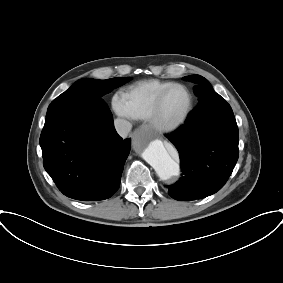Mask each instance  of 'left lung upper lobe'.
Instances as JSON below:
<instances>
[{
  "label": "left lung upper lobe",
  "mask_w": 283,
  "mask_h": 283,
  "mask_svg": "<svg viewBox=\"0 0 283 283\" xmlns=\"http://www.w3.org/2000/svg\"><path fill=\"white\" fill-rule=\"evenodd\" d=\"M187 81H192L196 84L194 86V92L198 96L199 104H203L204 102H210L217 95V93L213 90L212 86L208 82L207 79L200 75H191L184 77ZM222 136H231L238 137V127L234 117V114L231 115L229 126L226 130L220 133Z\"/></svg>",
  "instance_id": "5c2ea615"
}]
</instances>
